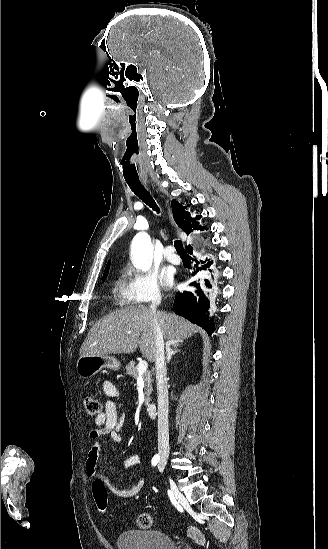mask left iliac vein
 I'll return each instance as SVG.
<instances>
[{
	"instance_id": "left-iliac-vein-1",
	"label": "left iliac vein",
	"mask_w": 328,
	"mask_h": 549,
	"mask_svg": "<svg viewBox=\"0 0 328 549\" xmlns=\"http://www.w3.org/2000/svg\"><path fill=\"white\" fill-rule=\"evenodd\" d=\"M158 469H159L160 472L163 471L164 467L161 465V463L158 464Z\"/></svg>"
}]
</instances>
